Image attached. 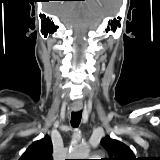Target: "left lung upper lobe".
<instances>
[{
  "label": "left lung upper lobe",
  "mask_w": 160,
  "mask_h": 160,
  "mask_svg": "<svg viewBox=\"0 0 160 160\" xmlns=\"http://www.w3.org/2000/svg\"><path fill=\"white\" fill-rule=\"evenodd\" d=\"M101 144L110 156L102 160H137L132 150L118 140L111 139L107 136L102 139Z\"/></svg>",
  "instance_id": "5c2ea615"
}]
</instances>
